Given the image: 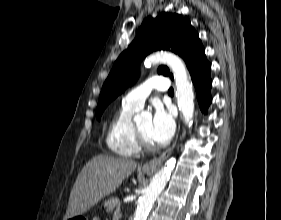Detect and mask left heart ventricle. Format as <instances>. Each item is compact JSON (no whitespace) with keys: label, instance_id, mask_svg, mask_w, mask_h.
Instances as JSON below:
<instances>
[{"label":"left heart ventricle","instance_id":"left-heart-ventricle-1","mask_svg":"<svg viewBox=\"0 0 281 220\" xmlns=\"http://www.w3.org/2000/svg\"><path fill=\"white\" fill-rule=\"evenodd\" d=\"M137 127H138L139 131L141 132V134L144 136V138L148 142L153 143L152 139L150 138L151 122L150 121L143 122V123L139 124Z\"/></svg>","mask_w":281,"mask_h":220}]
</instances>
